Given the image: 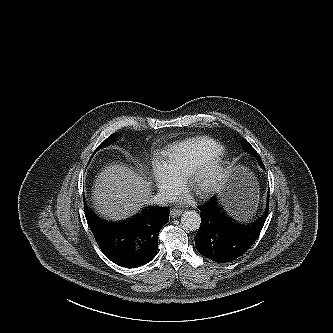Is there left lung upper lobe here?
Returning <instances> with one entry per match:
<instances>
[{"instance_id": "5c2ea615", "label": "left lung upper lobe", "mask_w": 333, "mask_h": 333, "mask_svg": "<svg viewBox=\"0 0 333 333\" xmlns=\"http://www.w3.org/2000/svg\"><path fill=\"white\" fill-rule=\"evenodd\" d=\"M243 144H244V147H245V149L247 150V152H251V153H253V154L257 157V159H258L260 165L263 167V163H262V160H261L260 156H259L258 153L255 151V149L250 145V143L247 142L246 140H244Z\"/></svg>"}]
</instances>
